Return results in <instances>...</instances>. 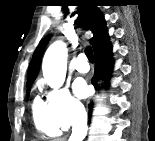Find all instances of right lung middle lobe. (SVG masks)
Listing matches in <instances>:
<instances>
[{"label": "right lung middle lobe", "mask_w": 155, "mask_h": 141, "mask_svg": "<svg viewBox=\"0 0 155 141\" xmlns=\"http://www.w3.org/2000/svg\"><path fill=\"white\" fill-rule=\"evenodd\" d=\"M31 85V84H30ZM30 85H27L28 87H30ZM29 91H30V88L27 89V92H26V95L28 96L29 95Z\"/></svg>", "instance_id": "dd1d6c3e"}]
</instances>
